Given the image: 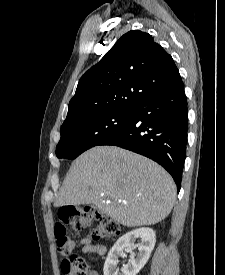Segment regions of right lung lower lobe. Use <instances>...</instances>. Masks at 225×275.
I'll list each match as a JSON object with an SVG mask.
<instances>
[{
    "mask_svg": "<svg viewBox=\"0 0 225 275\" xmlns=\"http://www.w3.org/2000/svg\"><path fill=\"white\" fill-rule=\"evenodd\" d=\"M187 130V99L181 82L137 103L127 123L99 145L119 146L156 161L171 174L179 191Z\"/></svg>",
    "mask_w": 225,
    "mask_h": 275,
    "instance_id": "right-lung-lower-lobe-1",
    "label": "right lung lower lobe"
}]
</instances>
